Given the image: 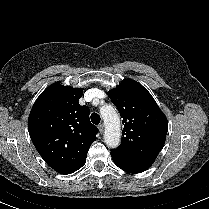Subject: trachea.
<instances>
[{
  "instance_id": "3493384b",
  "label": "trachea",
  "mask_w": 209,
  "mask_h": 209,
  "mask_svg": "<svg viewBox=\"0 0 209 209\" xmlns=\"http://www.w3.org/2000/svg\"><path fill=\"white\" fill-rule=\"evenodd\" d=\"M100 120H101V118H100V115L99 114H97V113H92L91 114V122L93 124H95V125L99 124L100 123Z\"/></svg>"
}]
</instances>
